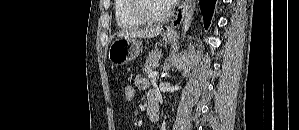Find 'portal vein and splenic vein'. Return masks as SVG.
Instances as JSON below:
<instances>
[{"mask_svg":"<svg viewBox=\"0 0 299 130\" xmlns=\"http://www.w3.org/2000/svg\"><path fill=\"white\" fill-rule=\"evenodd\" d=\"M158 75V72H151L149 75H148V77L149 78H154V77H156Z\"/></svg>","mask_w":299,"mask_h":130,"instance_id":"18ae733b","label":"portal vein and splenic vein"}]
</instances>
